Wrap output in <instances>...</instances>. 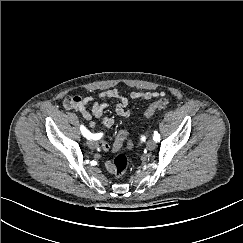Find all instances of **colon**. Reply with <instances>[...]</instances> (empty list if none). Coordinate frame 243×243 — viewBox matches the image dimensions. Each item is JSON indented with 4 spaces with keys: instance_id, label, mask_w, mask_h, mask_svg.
Returning a JSON list of instances; mask_svg holds the SVG:
<instances>
[{
    "instance_id": "1",
    "label": "colon",
    "mask_w": 243,
    "mask_h": 243,
    "mask_svg": "<svg viewBox=\"0 0 243 243\" xmlns=\"http://www.w3.org/2000/svg\"><path fill=\"white\" fill-rule=\"evenodd\" d=\"M81 98L78 96H70L67 97L65 100V106L69 109L74 108L79 102ZM169 104V100L167 98H160L159 100L153 102L145 111V116L150 117L152 116L158 109H161ZM127 144L129 147L132 146V143L129 140L128 133L126 131H121L118 133L113 149L114 151H118L123 144ZM129 160L125 154H118L113 160V173L117 178L122 177L127 169H128Z\"/></svg>"
}]
</instances>
